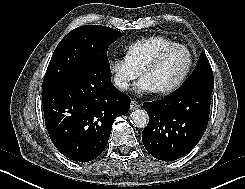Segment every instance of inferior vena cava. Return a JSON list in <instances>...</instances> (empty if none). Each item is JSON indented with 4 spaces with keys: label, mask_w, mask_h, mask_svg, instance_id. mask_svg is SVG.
<instances>
[{
    "label": "inferior vena cava",
    "mask_w": 245,
    "mask_h": 189,
    "mask_svg": "<svg viewBox=\"0 0 245 189\" xmlns=\"http://www.w3.org/2000/svg\"><path fill=\"white\" fill-rule=\"evenodd\" d=\"M114 81L115 85L120 89H127L129 87L127 81L124 80L122 77H115Z\"/></svg>",
    "instance_id": "obj_1"
}]
</instances>
